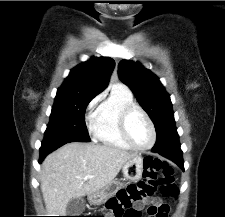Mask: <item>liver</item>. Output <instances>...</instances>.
Wrapping results in <instances>:
<instances>
[{"label": "liver", "mask_w": 225, "mask_h": 217, "mask_svg": "<svg viewBox=\"0 0 225 217\" xmlns=\"http://www.w3.org/2000/svg\"><path fill=\"white\" fill-rule=\"evenodd\" d=\"M137 156L99 144L72 142L49 154L42 163L41 192L49 216H66L72 198H81L111 183L123 165ZM91 175L92 178L85 179Z\"/></svg>", "instance_id": "liver-1"}]
</instances>
